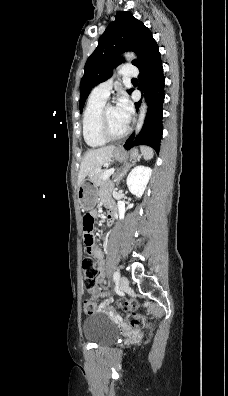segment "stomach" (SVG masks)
Here are the masks:
<instances>
[{
    "mask_svg": "<svg viewBox=\"0 0 228 396\" xmlns=\"http://www.w3.org/2000/svg\"><path fill=\"white\" fill-rule=\"evenodd\" d=\"M138 156V151L134 150L131 154L132 158ZM113 157L116 159H121L124 157V152L121 149H115L113 152ZM77 196L80 206L83 210H92L97 203V186H95L90 179H84L82 183L77 188Z\"/></svg>",
    "mask_w": 228,
    "mask_h": 396,
    "instance_id": "1",
    "label": "stomach"
}]
</instances>
